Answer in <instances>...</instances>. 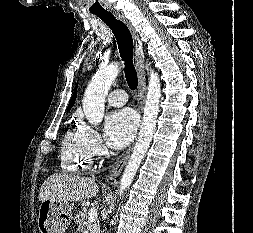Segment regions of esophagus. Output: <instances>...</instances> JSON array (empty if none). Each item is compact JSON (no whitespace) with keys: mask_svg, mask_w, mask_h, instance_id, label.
<instances>
[{"mask_svg":"<svg viewBox=\"0 0 253 233\" xmlns=\"http://www.w3.org/2000/svg\"><path fill=\"white\" fill-rule=\"evenodd\" d=\"M119 17L122 21L127 25L129 28L133 40H134V47H135V66L138 74V98H137V107L140 117L142 118V113L145 104V93H146V82H145V71H144V51H143V44L139 38L134 27L131 25L130 21L127 20L123 15L118 13ZM133 150V145L130 146L127 151H125L116 161V163L112 166L109 177L111 179H115L119 176L121 171L123 170L124 166L126 165L130 154Z\"/></svg>","mask_w":253,"mask_h":233,"instance_id":"obj_1","label":"esophagus"}]
</instances>
